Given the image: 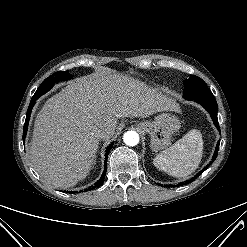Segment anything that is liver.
<instances>
[{"label": "liver", "mask_w": 247, "mask_h": 247, "mask_svg": "<svg viewBox=\"0 0 247 247\" xmlns=\"http://www.w3.org/2000/svg\"><path fill=\"white\" fill-rule=\"evenodd\" d=\"M160 111H179L175 100L138 79L98 75L70 83L49 98L37 114L29 157L49 184L69 188L84 179L99 146L95 129L109 140L117 119L148 117Z\"/></svg>", "instance_id": "1"}]
</instances>
